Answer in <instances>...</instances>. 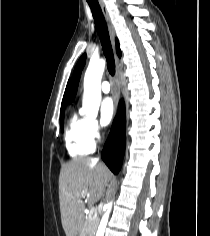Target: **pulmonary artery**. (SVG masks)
Instances as JSON below:
<instances>
[{
    "mask_svg": "<svg viewBox=\"0 0 210 236\" xmlns=\"http://www.w3.org/2000/svg\"><path fill=\"white\" fill-rule=\"evenodd\" d=\"M110 84L108 83V82H103L102 84H101V91L103 92V93H109L110 92Z\"/></svg>",
    "mask_w": 210,
    "mask_h": 236,
    "instance_id": "1",
    "label": "pulmonary artery"
}]
</instances>
